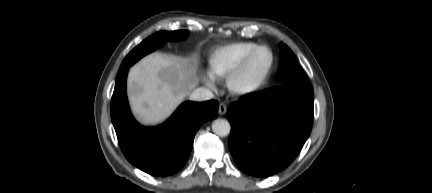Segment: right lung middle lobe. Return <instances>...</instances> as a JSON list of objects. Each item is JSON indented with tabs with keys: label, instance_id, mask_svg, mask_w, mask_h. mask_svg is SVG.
<instances>
[{
	"label": "right lung middle lobe",
	"instance_id": "obj_1",
	"mask_svg": "<svg viewBox=\"0 0 432 193\" xmlns=\"http://www.w3.org/2000/svg\"><path fill=\"white\" fill-rule=\"evenodd\" d=\"M188 31H161L155 35L150 36L138 46H136L124 59L121 69L132 66L144 55L154 51L162 46L166 41H177L185 39L188 36Z\"/></svg>",
	"mask_w": 432,
	"mask_h": 193
}]
</instances>
